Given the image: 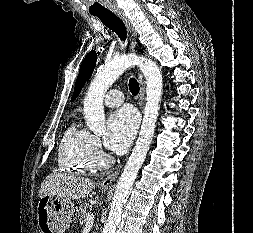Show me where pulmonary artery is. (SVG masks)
I'll list each match as a JSON object with an SVG mask.
<instances>
[{"label":"pulmonary artery","mask_w":253,"mask_h":233,"mask_svg":"<svg viewBox=\"0 0 253 233\" xmlns=\"http://www.w3.org/2000/svg\"><path fill=\"white\" fill-rule=\"evenodd\" d=\"M124 95L120 90L112 89L104 96V104L108 107H118L124 102Z\"/></svg>","instance_id":"obj_1"}]
</instances>
